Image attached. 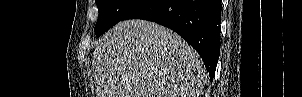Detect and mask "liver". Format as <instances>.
Wrapping results in <instances>:
<instances>
[{
	"label": "liver",
	"instance_id": "6515ba94",
	"mask_svg": "<svg viewBox=\"0 0 302 97\" xmlns=\"http://www.w3.org/2000/svg\"><path fill=\"white\" fill-rule=\"evenodd\" d=\"M96 97H199L207 80L198 53L178 34L144 20L110 29L92 56Z\"/></svg>",
	"mask_w": 302,
	"mask_h": 97
}]
</instances>
